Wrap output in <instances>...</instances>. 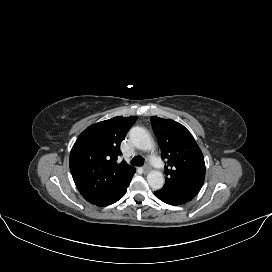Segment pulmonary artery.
Here are the masks:
<instances>
[{"label": "pulmonary artery", "instance_id": "pulmonary-artery-1", "mask_svg": "<svg viewBox=\"0 0 272 272\" xmlns=\"http://www.w3.org/2000/svg\"><path fill=\"white\" fill-rule=\"evenodd\" d=\"M151 164L156 168V169H159V170H162L164 169V164L158 160L157 158H154L151 160Z\"/></svg>", "mask_w": 272, "mask_h": 272}]
</instances>
